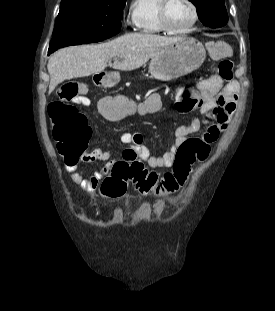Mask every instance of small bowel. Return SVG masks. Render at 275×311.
<instances>
[{
    "label": "small bowel",
    "mask_w": 275,
    "mask_h": 311,
    "mask_svg": "<svg viewBox=\"0 0 275 311\" xmlns=\"http://www.w3.org/2000/svg\"><path fill=\"white\" fill-rule=\"evenodd\" d=\"M238 84L235 81L224 83L218 75L205 79L198 88L199 98L179 99L175 108L180 113L199 111L210 120L194 119L187 126H178L174 131L175 140L171 147L160 156H153L143 142V135L139 132H123L119 141L130 146L122 150L124 160H141L152 169L169 168L173 165L177 149L187 136L203 131V137L216 136L227 128L228 122L236 108L238 99ZM87 106L88 104H80ZM102 114V113H101ZM107 150L93 146L75 160L65 159L64 167L71 180L83 190L96 194L100 190V183L109 175L112 167L118 160L111 158L108 149L113 147L111 141L105 142ZM104 161L105 164L92 174H87L81 167V162Z\"/></svg>",
    "instance_id": "small-bowel-1"
}]
</instances>
